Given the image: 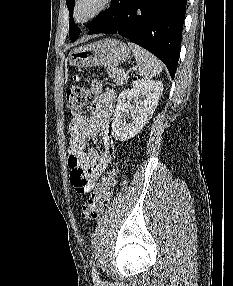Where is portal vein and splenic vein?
<instances>
[{"label": "portal vein and splenic vein", "mask_w": 233, "mask_h": 286, "mask_svg": "<svg viewBox=\"0 0 233 286\" xmlns=\"http://www.w3.org/2000/svg\"><path fill=\"white\" fill-rule=\"evenodd\" d=\"M124 76H125V77H128V74H127V73H124Z\"/></svg>", "instance_id": "portal-vein-and-splenic-vein-1"}]
</instances>
